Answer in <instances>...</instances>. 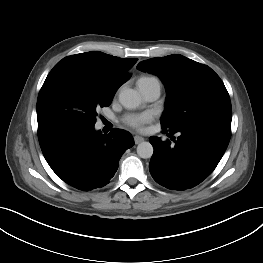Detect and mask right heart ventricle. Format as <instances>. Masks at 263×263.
Wrapping results in <instances>:
<instances>
[{
	"instance_id": "obj_1",
	"label": "right heart ventricle",
	"mask_w": 263,
	"mask_h": 263,
	"mask_svg": "<svg viewBox=\"0 0 263 263\" xmlns=\"http://www.w3.org/2000/svg\"><path fill=\"white\" fill-rule=\"evenodd\" d=\"M145 78H150V77H142V78H140V79H145Z\"/></svg>"
}]
</instances>
